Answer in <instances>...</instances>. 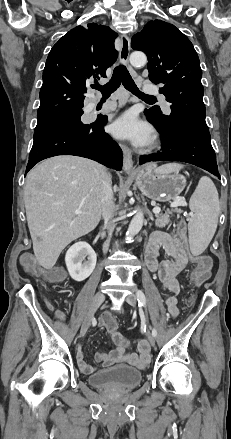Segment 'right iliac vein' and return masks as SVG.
Instances as JSON below:
<instances>
[{
  "instance_id": "63e3f726",
  "label": "right iliac vein",
  "mask_w": 231,
  "mask_h": 439,
  "mask_svg": "<svg viewBox=\"0 0 231 439\" xmlns=\"http://www.w3.org/2000/svg\"><path fill=\"white\" fill-rule=\"evenodd\" d=\"M104 297L105 296H104V294L102 292H97L95 294V296H94V298L92 300V303H91V305H90V307L88 309V312L86 313V316H85V318L83 320L82 326H81V330H80V336L81 337H83L86 334V332H87V330H88V328H89V326L91 324L92 318H93L97 308L103 302Z\"/></svg>"
}]
</instances>
